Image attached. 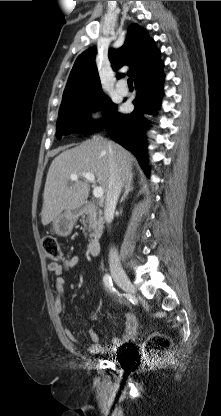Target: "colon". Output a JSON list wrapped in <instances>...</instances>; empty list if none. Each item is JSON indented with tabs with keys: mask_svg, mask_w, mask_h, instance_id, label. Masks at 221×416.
Segmentation results:
<instances>
[{
	"mask_svg": "<svg viewBox=\"0 0 221 416\" xmlns=\"http://www.w3.org/2000/svg\"><path fill=\"white\" fill-rule=\"evenodd\" d=\"M46 257L57 263L62 259V250L58 241L54 237H44L42 240ZM171 346L170 340L161 334H155L148 338L145 344L146 350L154 355L165 353Z\"/></svg>",
	"mask_w": 221,
	"mask_h": 416,
	"instance_id": "5ec220e1",
	"label": "colon"
}]
</instances>
